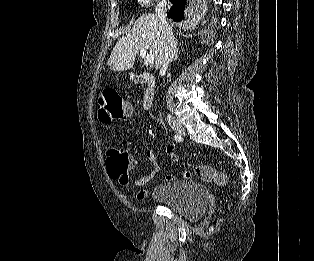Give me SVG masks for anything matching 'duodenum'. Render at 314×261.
<instances>
[{
  "label": "duodenum",
  "mask_w": 314,
  "mask_h": 261,
  "mask_svg": "<svg viewBox=\"0 0 314 261\" xmlns=\"http://www.w3.org/2000/svg\"><path fill=\"white\" fill-rule=\"evenodd\" d=\"M134 81L138 84H144L145 85V90L143 94V109L144 110H149L154 102V95H155V78L149 74V73H144L137 75L134 78Z\"/></svg>",
  "instance_id": "1"
}]
</instances>
